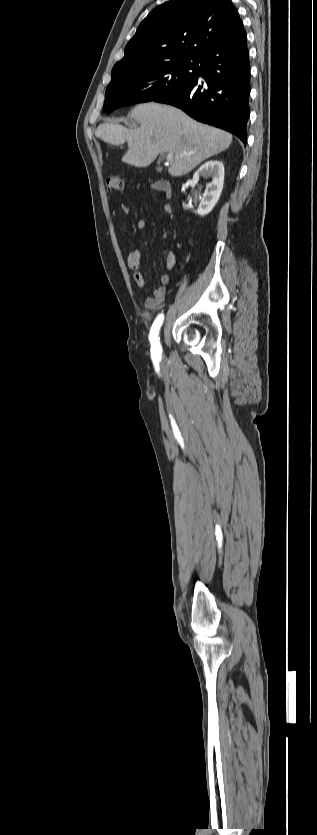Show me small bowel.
Listing matches in <instances>:
<instances>
[{"label": "small bowel", "instance_id": "obj_1", "mask_svg": "<svg viewBox=\"0 0 317 835\" xmlns=\"http://www.w3.org/2000/svg\"><path fill=\"white\" fill-rule=\"evenodd\" d=\"M159 182H156L155 184H153V188L160 191V192H163L165 194V196L167 198H169L167 196V194L162 189H160L161 185L159 184ZM161 208H162L163 211H165L168 214H170L172 212V207L169 204H163L161 206ZM123 210L125 212H128L127 208H123ZM146 226H147L146 220L140 219L136 224V229L138 231H143V230H145ZM176 262H177V259H176L175 254L173 252H169L167 254L166 261H165L166 272L163 273L162 276L160 277L159 286L156 289H154L152 295H150L146 298V300H145L146 309H148L150 311H154V310L159 309L163 305V303L166 299V295H167V285L170 281L169 272L175 267ZM127 265L133 273V279H134L137 287L140 288V289H144L146 287V282H145V279H144V277H143V275L140 271L141 250H140L139 247L133 248L128 253V255H127Z\"/></svg>", "mask_w": 317, "mask_h": 835}]
</instances>
